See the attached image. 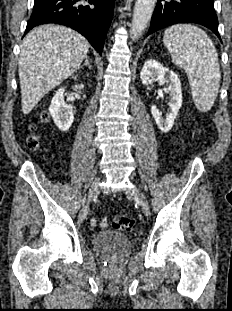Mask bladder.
I'll return each mask as SVG.
<instances>
[{
	"label": "bladder",
	"mask_w": 232,
	"mask_h": 311,
	"mask_svg": "<svg viewBox=\"0 0 232 311\" xmlns=\"http://www.w3.org/2000/svg\"><path fill=\"white\" fill-rule=\"evenodd\" d=\"M91 242L94 250L99 253L122 255L132 248L131 240L126 235L111 230L95 234Z\"/></svg>",
	"instance_id": "obj_1"
}]
</instances>
